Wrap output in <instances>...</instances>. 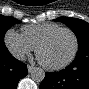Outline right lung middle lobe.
<instances>
[{
  "label": "right lung middle lobe",
  "instance_id": "right-lung-middle-lobe-1",
  "mask_svg": "<svg viewBox=\"0 0 89 89\" xmlns=\"http://www.w3.org/2000/svg\"><path fill=\"white\" fill-rule=\"evenodd\" d=\"M20 21L9 16L0 15V48L5 47L4 35L6 31L13 25L19 23Z\"/></svg>",
  "mask_w": 89,
  "mask_h": 89
}]
</instances>
